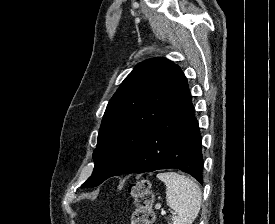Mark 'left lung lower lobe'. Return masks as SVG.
<instances>
[{
  "label": "left lung lower lobe",
  "instance_id": "left-lung-lower-lobe-1",
  "mask_svg": "<svg viewBox=\"0 0 275 224\" xmlns=\"http://www.w3.org/2000/svg\"><path fill=\"white\" fill-rule=\"evenodd\" d=\"M201 135L188 91L159 122L126 173L180 169L202 184Z\"/></svg>",
  "mask_w": 275,
  "mask_h": 224
}]
</instances>
